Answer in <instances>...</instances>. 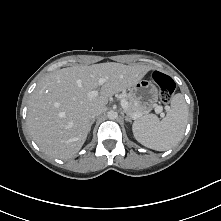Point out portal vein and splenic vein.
Listing matches in <instances>:
<instances>
[{
	"instance_id": "1",
	"label": "portal vein and splenic vein",
	"mask_w": 221,
	"mask_h": 221,
	"mask_svg": "<svg viewBox=\"0 0 221 221\" xmlns=\"http://www.w3.org/2000/svg\"><path fill=\"white\" fill-rule=\"evenodd\" d=\"M104 82H105V79L104 78H101V79H99V81H98V84L99 85H103L104 84ZM98 95V91L97 90H93V91H90L89 93H88V96L89 97H96ZM121 106H122V108L123 109H127V107H128V102L125 100V99H122L121 100ZM161 111H162V108L160 107V106H156L155 107V113L156 114H159V113H161ZM142 116V114H134L133 116H132V118L133 119H137V118H139V117H141Z\"/></svg>"
}]
</instances>
